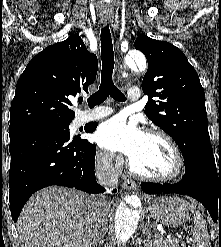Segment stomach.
Returning <instances> with one entry per match:
<instances>
[{
	"label": "stomach",
	"instance_id": "1",
	"mask_svg": "<svg viewBox=\"0 0 221 247\" xmlns=\"http://www.w3.org/2000/svg\"><path fill=\"white\" fill-rule=\"evenodd\" d=\"M151 216L169 227H178L188 217V204L179 197H160L148 203Z\"/></svg>",
	"mask_w": 221,
	"mask_h": 247
}]
</instances>
